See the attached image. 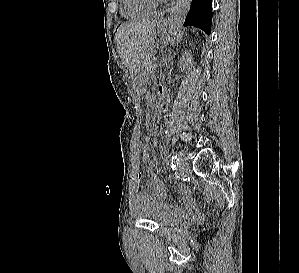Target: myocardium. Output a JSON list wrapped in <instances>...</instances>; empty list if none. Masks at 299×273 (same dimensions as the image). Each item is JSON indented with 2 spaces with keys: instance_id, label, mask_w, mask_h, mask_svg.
<instances>
[{
  "instance_id": "1",
  "label": "myocardium",
  "mask_w": 299,
  "mask_h": 273,
  "mask_svg": "<svg viewBox=\"0 0 299 273\" xmlns=\"http://www.w3.org/2000/svg\"><path fill=\"white\" fill-rule=\"evenodd\" d=\"M164 0H142L147 8L151 11L158 9Z\"/></svg>"
}]
</instances>
